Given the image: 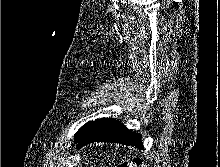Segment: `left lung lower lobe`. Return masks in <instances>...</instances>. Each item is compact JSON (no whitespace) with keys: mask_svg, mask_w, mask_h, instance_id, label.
Here are the masks:
<instances>
[{"mask_svg":"<svg viewBox=\"0 0 220 167\" xmlns=\"http://www.w3.org/2000/svg\"><path fill=\"white\" fill-rule=\"evenodd\" d=\"M94 142H114L144 149L140 136L128 130L115 119L101 118L95 120L84 135L75 141L77 148Z\"/></svg>","mask_w":220,"mask_h":167,"instance_id":"1","label":"left lung lower lobe"}]
</instances>
